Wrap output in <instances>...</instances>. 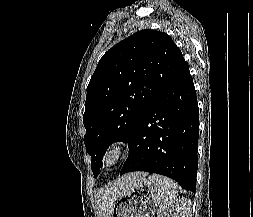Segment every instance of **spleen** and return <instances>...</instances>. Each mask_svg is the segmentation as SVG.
I'll return each mask as SVG.
<instances>
[{
  "label": "spleen",
  "mask_w": 253,
  "mask_h": 217,
  "mask_svg": "<svg viewBox=\"0 0 253 217\" xmlns=\"http://www.w3.org/2000/svg\"><path fill=\"white\" fill-rule=\"evenodd\" d=\"M148 180L156 187L157 203L160 210L171 204L179 193L178 184L165 176L152 174Z\"/></svg>",
  "instance_id": "spleen-1"
}]
</instances>
